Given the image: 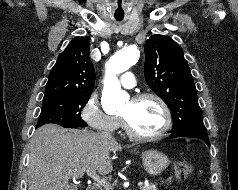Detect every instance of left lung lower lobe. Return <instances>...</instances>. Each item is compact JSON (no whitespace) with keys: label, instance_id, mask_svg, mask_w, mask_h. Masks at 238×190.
<instances>
[{"label":"left lung lower lobe","instance_id":"1","mask_svg":"<svg viewBox=\"0 0 238 190\" xmlns=\"http://www.w3.org/2000/svg\"><path fill=\"white\" fill-rule=\"evenodd\" d=\"M178 136H187V137L198 138V139L203 140L208 146H210L207 131H198L195 133L178 132V133H173L169 138H175Z\"/></svg>","mask_w":238,"mask_h":190}]
</instances>
